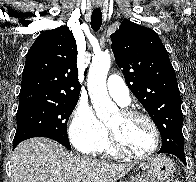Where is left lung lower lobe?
Instances as JSON below:
<instances>
[{
    "mask_svg": "<svg viewBox=\"0 0 196 182\" xmlns=\"http://www.w3.org/2000/svg\"><path fill=\"white\" fill-rule=\"evenodd\" d=\"M159 153H162V152L159 151ZM170 154H173V155L177 156L186 165V158H185L184 152L175 151V152H172Z\"/></svg>",
    "mask_w": 196,
    "mask_h": 182,
    "instance_id": "left-lung-lower-lobe-1",
    "label": "left lung lower lobe"
}]
</instances>
